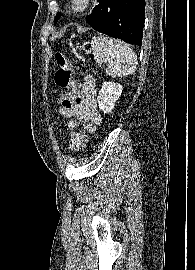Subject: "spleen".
<instances>
[{
  "label": "spleen",
  "instance_id": "spleen-1",
  "mask_svg": "<svg viewBox=\"0 0 195 270\" xmlns=\"http://www.w3.org/2000/svg\"><path fill=\"white\" fill-rule=\"evenodd\" d=\"M91 46L94 59L106 64L109 76L124 77L135 73L137 56L127 44L104 36H94Z\"/></svg>",
  "mask_w": 195,
  "mask_h": 270
}]
</instances>
